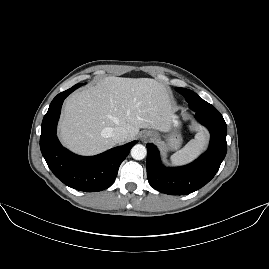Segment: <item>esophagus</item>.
<instances>
[{"instance_id": "1", "label": "esophagus", "mask_w": 269, "mask_h": 269, "mask_svg": "<svg viewBox=\"0 0 269 269\" xmlns=\"http://www.w3.org/2000/svg\"><path fill=\"white\" fill-rule=\"evenodd\" d=\"M151 135L148 132H145L143 138H149Z\"/></svg>"}]
</instances>
